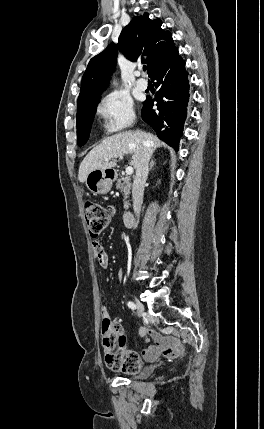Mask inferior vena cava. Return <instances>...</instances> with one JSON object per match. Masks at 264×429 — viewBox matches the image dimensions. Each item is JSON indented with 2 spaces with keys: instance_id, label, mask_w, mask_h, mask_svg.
<instances>
[{
  "instance_id": "inferior-vena-cava-1",
  "label": "inferior vena cava",
  "mask_w": 264,
  "mask_h": 429,
  "mask_svg": "<svg viewBox=\"0 0 264 429\" xmlns=\"http://www.w3.org/2000/svg\"><path fill=\"white\" fill-rule=\"evenodd\" d=\"M151 154V149L145 146L136 166V176L132 187L133 209L136 216L139 215L143 203L144 185L148 176V164ZM134 222L137 224L139 221L136 219Z\"/></svg>"
}]
</instances>
